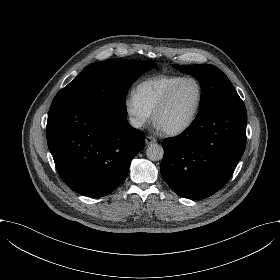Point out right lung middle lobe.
Listing matches in <instances>:
<instances>
[{
	"mask_svg": "<svg viewBox=\"0 0 280 280\" xmlns=\"http://www.w3.org/2000/svg\"><path fill=\"white\" fill-rule=\"evenodd\" d=\"M158 66L151 61H104L84 68L54 99L69 98L126 118V95L143 73Z\"/></svg>",
	"mask_w": 280,
	"mask_h": 280,
	"instance_id": "right-lung-middle-lobe-1",
	"label": "right lung middle lobe"
}]
</instances>
